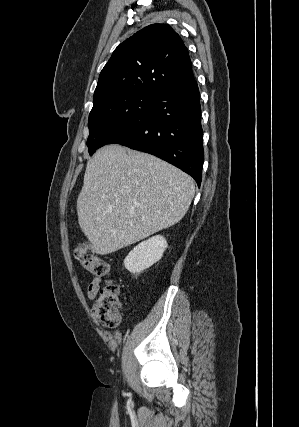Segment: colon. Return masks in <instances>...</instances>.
<instances>
[{
  "mask_svg": "<svg viewBox=\"0 0 299 427\" xmlns=\"http://www.w3.org/2000/svg\"><path fill=\"white\" fill-rule=\"evenodd\" d=\"M74 257L77 262L96 277L106 276L109 272L108 263L95 255L85 243L78 244L74 249ZM121 301L119 287L113 283H107L100 291V295L93 305V316L106 328H114L120 321Z\"/></svg>",
  "mask_w": 299,
  "mask_h": 427,
  "instance_id": "5ec220e1",
  "label": "colon"
}]
</instances>
